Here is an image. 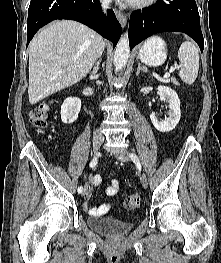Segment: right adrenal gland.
Masks as SVG:
<instances>
[{
    "mask_svg": "<svg viewBox=\"0 0 221 263\" xmlns=\"http://www.w3.org/2000/svg\"><path fill=\"white\" fill-rule=\"evenodd\" d=\"M100 62H101V59H99V60L95 63V66H94V68H93V70H92V72H91L92 74H96V73L98 72Z\"/></svg>",
    "mask_w": 221,
    "mask_h": 263,
    "instance_id": "2a0ac1e0",
    "label": "right adrenal gland"
}]
</instances>
